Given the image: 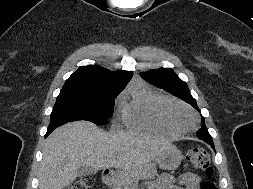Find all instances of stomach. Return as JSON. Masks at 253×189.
Instances as JSON below:
<instances>
[{
    "label": "stomach",
    "instance_id": "stomach-1",
    "mask_svg": "<svg viewBox=\"0 0 253 189\" xmlns=\"http://www.w3.org/2000/svg\"><path fill=\"white\" fill-rule=\"evenodd\" d=\"M182 159V152L173 147L157 156L155 161L163 170H174L180 165Z\"/></svg>",
    "mask_w": 253,
    "mask_h": 189
}]
</instances>
